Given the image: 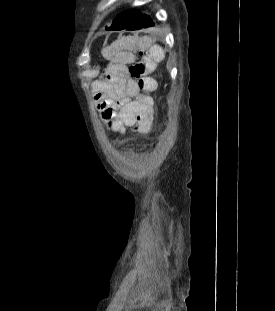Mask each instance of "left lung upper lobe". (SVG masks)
Segmentation results:
<instances>
[{
	"label": "left lung upper lobe",
	"instance_id": "obj_1",
	"mask_svg": "<svg viewBox=\"0 0 275 311\" xmlns=\"http://www.w3.org/2000/svg\"><path fill=\"white\" fill-rule=\"evenodd\" d=\"M139 15L140 13L135 10L123 12L120 16L115 18L112 22V25L109 28L106 27V29L123 30L130 24H132L138 18Z\"/></svg>",
	"mask_w": 275,
	"mask_h": 311
}]
</instances>
